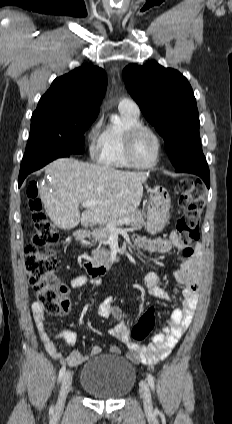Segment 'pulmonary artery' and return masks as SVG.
Masks as SVG:
<instances>
[{"label":"pulmonary artery","mask_w":232,"mask_h":424,"mask_svg":"<svg viewBox=\"0 0 232 424\" xmlns=\"http://www.w3.org/2000/svg\"><path fill=\"white\" fill-rule=\"evenodd\" d=\"M118 108L121 110H130L136 113H140L139 106L128 98H122L118 103Z\"/></svg>","instance_id":"pulmonary-artery-1"}]
</instances>
